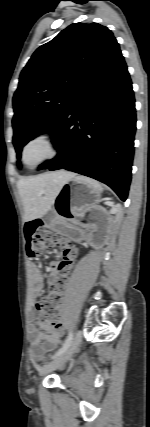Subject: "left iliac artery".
Returning <instances> with one entry per match:
<instances>
[{
	"mask_svg": "<svg viewBox=\"0 0 150 427\" xmlns=\"http://www.w3.org/2000/svg\"><path fill=\"white\" fill-rule=\"evenodd\" d=\"M72 340H73V332L71 331L68 335V338L64 342L63 346L52 356V359L56 358L57 356L65 352L71 345Z\"/></svg>",
	"mask_w": 150,
	"mask_h": 427,
	"instance_id": "left-iliac-artery-1",
	"label": "left iliac artery"
}]
</instances>
